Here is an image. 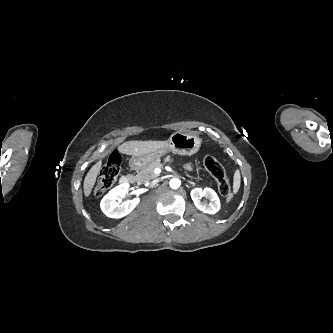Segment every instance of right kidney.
Instances as JSON below:
<instances>
[{"mask_svg": "<svg viewBox=\"0 0 333 333\" xmlns=\"http://www.w3.org/2000/svg\"><path fill=\"white\" fill-rule=\"evenodd\" d=\"M130 185L123 183L111 189L101 200L100 207L103 213L110 218H122L128 215L139 203L140 198L117 203L116 200L124 197L129 190Z\"/></svg>", "mask_w": 333, "mask_h": 333, "instance_id": "right-kidney-1", "label": "right kidney"}]
</instances>
